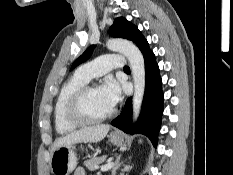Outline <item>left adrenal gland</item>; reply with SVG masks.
<instances>
[{"mask_svg":"<svg viewBox=\"0 0 233 175\" xmlns=\"http://www.w3.org/2000/svg\"><path fill=\"white\" fill-rule=\"evenodd\" d=\"M122 162L118 161L112 169V175H115L116 170L121 166Z\"/></svg>","mask_w":233,"mask_h":175,"instance_id":"left-adrenal-gland-1","label":"left adrenal gland"}]
</instances>
